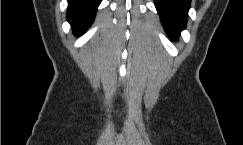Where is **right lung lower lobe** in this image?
<instances>
[{"label": "right lung lower lobe", "mask_w": 243, "mask_h": 145, "mask_svg": "<svg viewBox=\"0 0 243 145\" xmlns=\"http://www.w3.org/2000/svg\"><path fill=\"white\" fill-rule=\"evenodd\" d=\"M101 0H68L67 20L74 33L81 35L92 24Z\"/></svg>", "instance_id": "obj_1"}]
</instances>
